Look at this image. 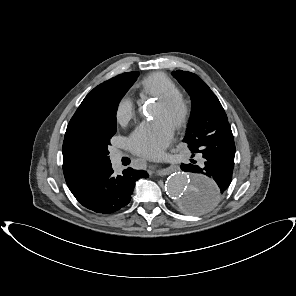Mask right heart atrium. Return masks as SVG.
Listing matches in <instances>:
<instances>
[{"label": "right heart atrium", "instance_id": "right-heart-atrium-1", "mask_svg": "<svg viewBox=\"0 0 296 296\" xmlns=\"http://www.w3.org/2000/svg\"><path fill=\"white\" fill-rule=\"evenodd\" d=\"M136 114V107L134 101L129 97H123L117 104L115 110L116 122L121 125H127Z\"/></svg>", "mask_w": 296, "mask_h": 296}]
</instances>
